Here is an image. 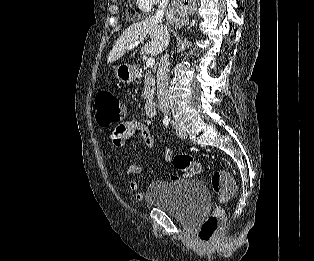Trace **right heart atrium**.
Here are the masks:
<instances>
[{
	"label": "right heart atrium",
	"mask_w": 314,
	"mask_h": 261,
	"mask_svg": "<svg viewBox=\"0 0 314 261\" xmlns=\"http://www.w3.org/2000/svg\"><path fill=\"white\" fill-rule=\"evenodd\" d=\"M164 0H139L141 3L143 10L150 11L152 10L156 5L161 3Z\"/></svg>",
	"instance_id": "right-heart-atrium-1"
}]
</instances>
